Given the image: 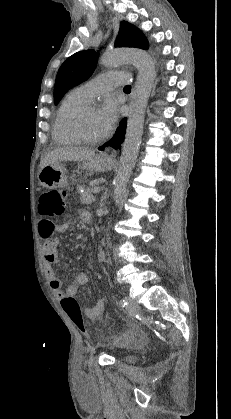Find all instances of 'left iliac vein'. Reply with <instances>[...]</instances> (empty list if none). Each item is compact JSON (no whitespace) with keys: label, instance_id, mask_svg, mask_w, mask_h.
Here are the masks:
<instances>
[{"label":"left iliac vein","instance_id":"4c4485c4","mask_svg":"<svg viewBox=\"0 0 231 419\" xmlns=\"http://www.w3.org/2000/svg\"><path fill=\"white\" fill-rule=\"evenodd\" d=\"M126 300L128 302V310L132 314L138 313L139 310H140V307H139V304L137 303V301L134 300L133 298H130V297H127Z\"/></svg>","mask_w":231,"mask_h":419}]
</instances>
